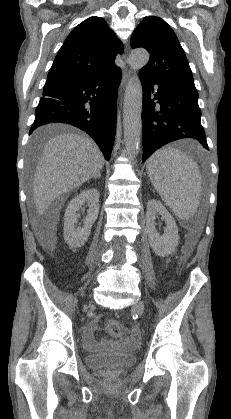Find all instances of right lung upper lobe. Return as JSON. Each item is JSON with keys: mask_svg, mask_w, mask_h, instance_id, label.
<instances>
[{"mask_svg": "<svg viewBox=\"0 0 231 419\" xmlns=\"http://www.w3.org/2000/svg\"><path fill=\"white\" fill-rule=\"evenodd\" d=\"M122 42L101 17H90L76 26L58 51L45 85L92 78L118 68Z\"/></svg>", "mask_w": 231, "mask_h": 419, "instance_id": "cb5924a9", "label": "right lung upper lobe"}]
</instances>
